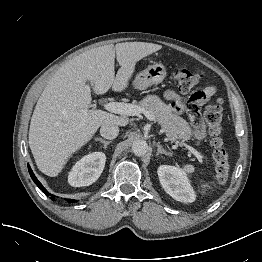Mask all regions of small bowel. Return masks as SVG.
I'll return each mask as SVG.
<instances>
[{
	"label": "small bowel",
	"mask_w": 262,
	"mask_h": 262,
	"mask_svg": "<svg viewBox=\"0 0 262 262\" xmlns=\"http://www.w3.org/2000/svg\"><path fill=\"white\" fill-rule=\"evenodd\" d=\"M216 89L214 86H206L201 91H199L194 97V103L197 108L207 104L210 99L215 95ZM165 98L171 103V106L174 108L176 112L180 110V104L182 102L180 96L172 91L168 90L165 93ZM190 125L194 131V136L197 141H200L204 135V125L201 119L197 115L190 116Z\"/></svg>",
	"instance_id": "c3829d8e"
}]
</instances>
